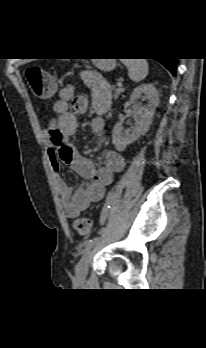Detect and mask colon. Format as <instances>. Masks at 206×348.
I'll use <instances>...</instances> for the list:
<instances>
[{"instance_id":"1","label":"colon","mask_w":206,"mask_h":348,"mask_svg":"<svg viewBox=\"0 0 206 348\" xmlns=\"http://www.w3.org/2000/svg\"><path fill=\"white\" fill-rule=\"evenodd\" d=\"M26 79L32 94L38 99H47L55 92L53 77L42 67L28 68ZM74 229L79 235L87 237L91 232V221L86 217L79 218L74 223Z\"/></svg>"}]
</instances>
